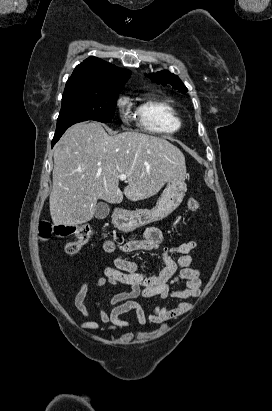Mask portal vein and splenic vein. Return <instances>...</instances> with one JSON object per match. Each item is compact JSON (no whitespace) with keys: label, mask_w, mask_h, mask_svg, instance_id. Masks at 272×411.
Wrapping results in <instances>:
<instances>
[{"label":"portal vein and splenic vein","mask_w":272,"mask_h":411,"mask_svg":"<svg viewBox=\"0 0 272 411\" xmlns=\"http://www.w3.org/2000/svg\"><path fill=\"white\" fill-rule=\"evenodd\" d=\"M119 179H120L121 181H125V180H127V175H126V174H120V175H119Z\"/></svg>","instance_id":"18ae733b"}]
</instances>
